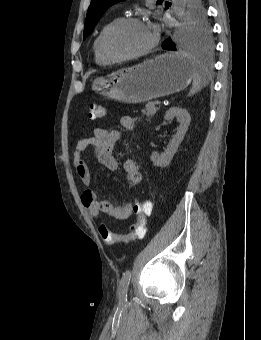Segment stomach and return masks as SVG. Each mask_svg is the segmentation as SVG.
Wrapping results in <instances>:
<instances>
[{"label": "stomach", "instance_id": "0dacf381", "mask_svg": "<svg viewBox=\"0 0 261 340\" xmlns=\"http://www.w3.org/2000/svg\"><path fill=\"white\" fill-rule=\"evenodd\" d=\"M194 64L174 53L97 78L92 89L110 99L137 104L184 90L192 81Z\"/></svg>", "mask_w": 261, "mask_h": 340}]
</instances>
